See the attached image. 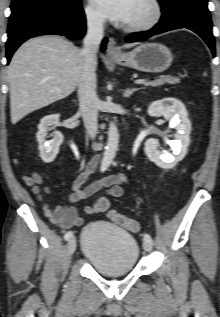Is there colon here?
I'll use <instances>...</instances> for the list:
<instances>
[{"label":"colon","mask_w":220,"mask_h":317,"mask_svg":"<svg viewBox=\"0 0 220 317\" xmlns=\"http://www.w3.org/2000/svg\"><path fill=\"white\" fill-rule=\"evenodd\" d=\"M103 206H106V204H104ZM108 216L114 223L128 229L129 231L136 232L140 228V225L137 220L128 218L116 212L115 210H109Z\"/></svg>","instance_id":"1"}]
</instances>
